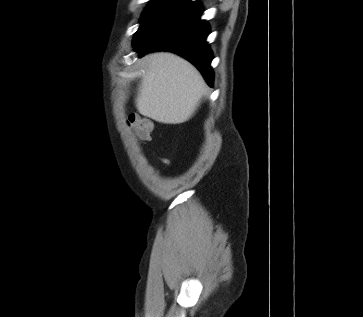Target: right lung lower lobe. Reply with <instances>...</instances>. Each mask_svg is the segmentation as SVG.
<instances>
[{
    "mask_svg": "<svg viewBox=\"0 0 363 317\" xmlns=\"http://www.w3.org/2000/svg\"><path fill=\"white\" fill-rule=\"evenodd\" d=\"M203 10L197 1L186 0L159 18L134 41L135 51L142 56L147 52L168 50L192 62L212 86V54L205 41L209 29L200 20Z\"/></svg>",
    "mask_w": 363,
    "mask_h": 317,
    "instance_id": "obj_1",
    "label": "right lung lower lobe"
}]
</instances>
